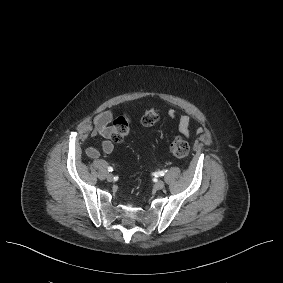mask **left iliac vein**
<instances>
[{
	"label": "left iliac vein",
	"mask_w": 283,
	"mask_h": 283,
	"mask_svg": "<svg viewBox=\"0 0 283 283\" xmlns=\"http://www.w3.org/2000/svg\"><path fill=\"white\" fill-rule=\"evenodd\" d=\"M164 186H165V182L160 180V181H157V182L155 183L154 188H155L156 190H161V189L164 188Z\"/></svg>",
	"instance_id": "1"
}]
</instances>
